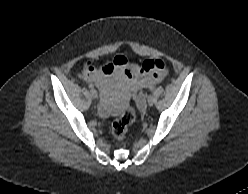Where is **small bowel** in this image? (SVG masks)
Listing matches in <instances>:
<instances>
[{
    "instance_id": "c3829d8e",
    "label": "small bowel",
    "mask_w": 248,
    "mask_h": 194,
    "mask_svg": "<svg viewBox=\"0 0 248 194\" xmlns=\"http://www.w3.org/2000/svg\"><path fill=\"white\" fill-rule=\"evenodd\" d=\"M129 62L123 55H117L112 62L97 68L87 63L83 68V78L97 86L104 97H107L112 89L129 90L137 93L146 87H154L162 82L167 75V70H146L145 65ZM103 114H108L106 105L101 107Z\"/></svg>"
}]
</instances>
